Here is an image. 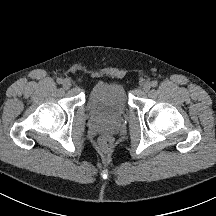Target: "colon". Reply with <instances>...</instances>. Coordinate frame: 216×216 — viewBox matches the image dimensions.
Wrapping results in <instances>:
<instances>
[{
	"label": "colon",
	"mask_w": 216,
	"mask_h": 216,
	"mask_svg": "<svg viewBox=\"0 0 216 216\" xmlns=\"http://www.w3.org/2000/svg\"><path fill=\"white\" fill-rule=\"evenodd\" d=\"M98 147L102 152H108L113 147V138L110 135L104 134L98 139Z\"/></svg>",
	"instance_id": "obj_1"
}]
</instances>
